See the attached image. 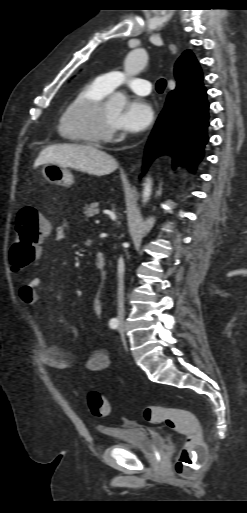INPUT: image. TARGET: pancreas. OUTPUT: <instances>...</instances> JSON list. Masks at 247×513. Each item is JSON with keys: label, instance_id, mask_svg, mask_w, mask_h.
Returning <instances> with one entry per match:
<instances>
[{"label": "pancreas", "instance_id": "1", "mask_svg": "<svg viewBox=\"0 0 247 513\" xmlns=\"http://www.w3.org/2000/svg\"><path fill=\"white\" fill-rule=\"evenodd\" d=\"M83 210H84L83 213L86 218L94 217L95 215L99 214V212H100L98 203H96V202L86 204L85 207L83 208Z\"/></svg>", "mask_w": 247, "mask_h": 513}]
</instances>
